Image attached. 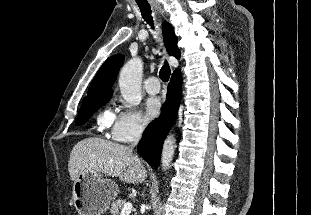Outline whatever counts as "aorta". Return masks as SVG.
<instances>
[{"label":"aorta","mask_w":311,"mask_h":215,"mask_svg":"<svg viewBox=\"0 0 311 215\" xmlns=\"http://www.w3.org/2000/svg\"><path fill=\"white\" fill-rule=\"evenodd\" d=\"M143 73V63L140 58H133L128 61L122 68L119 75V87L121 95L129 107L138 106L142 100L141 80ZM175 138L170 134L163 145L161 164L162 169L170 167L174 151Z\"/></svg>","instance_id":"aorta-1"}]
</instances>
